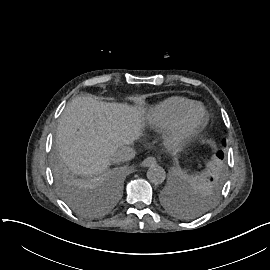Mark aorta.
<instances>
[{
  "label": "aorta",
  "mask_w": 270,
  "mask_h": 270,
  "mask_svg": "<svg viewBox=\"0 0 270 270\" xmlns=\"http://www.w3.org/2000/svg\"><path fill=\"white\" fill-rule=\"evenodd\" d=\"M165 177V170L161 166H150L147 171V178L151 183L161 184L165 180Z\"/></svg>",
  "instance_id": "762f6f07"
}]
</instances>
